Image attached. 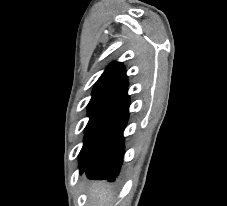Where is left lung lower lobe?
I'll return each mask as SVG.
<instances>
[{
    "instance_id": "0a47b994",
    "label": "left lung lower lobe",
    "mask_w": 227,
    "mask_h": 206,
    "mask_svg": "<svg viewBox=\"0 0 227 206\" xmlns=\"http://www.w3.org/2000/svg\"><path fill=\"white\" fill-rule=\"evenodd\" d=\"M127 87L109 104L92 137L91 149L80 162L90 179L114 181L124 155L123 131L129 117Z\"/></svg>"
}]
</instances>
